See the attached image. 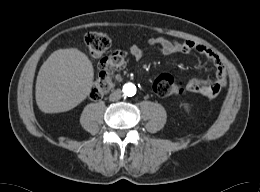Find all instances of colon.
Returning a JSON list of instances; mask_svg holds the SVG:
<instances>
[{
  "label": "colon",
  "instance_id": "5ec220e1",
  "mask_svg": "<svg viewBox=\"0 0 260 192\" xmlns=\"http://www.w3.org/2000/svg\"><path fill=\"white\" fill-rule=\"evenodd\" d=\"M85 44L90 56L100 59V73L90 92L91 99L99 100L114 87L119 72L126 66V56L119 51L104 56L111 45V38L102 31L88 32L85 36ZM152 88L160 97L177 95L184 91L183 84L167 73L160 74L154 80Z\"/></svg>",
  "mask_w": 260,
  "mask_h": 192
}]
</instances>
